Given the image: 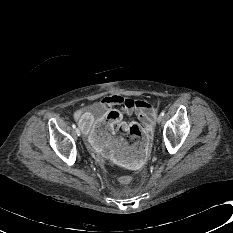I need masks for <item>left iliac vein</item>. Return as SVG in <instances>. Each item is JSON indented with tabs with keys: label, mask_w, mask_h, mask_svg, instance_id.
Here are the masks:
<instances>
[{
	"label": "left iliac vein",
	"mask_w": 233,
	"mask_h": 233,
	"mask_svg": "<svg viewBox=\"0 0 233 233\" xmlns=\"http://www.w3.org/2000/svg\"><path fill=\"white\" fill-rule=\"evenodd\" d=\"M162 120H163V117H162L161 115H159V116L157 117V123H161Z\"/></svg>",
	"instance_id": "1"
}]
</instances>
